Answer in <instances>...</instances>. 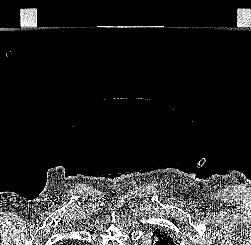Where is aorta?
<instances>
[{
	"label": "aorta",
	"mask_w": 251,
	"mask_h": 245,
	"mask_svg": "<svg viewBox=\"0 0 251 245\" xmlns=\"http://www.w3.org/2000/svg\"><path fill=\"white\" fill-rule=\"evenodd\" d=\"M151 241H152L151 235H150V234H147V235L145 236L143 242L145 243V245H149V244L151 243Z\"/></svg>",
	"instance_id": "obj_1"
}]
</instances>
